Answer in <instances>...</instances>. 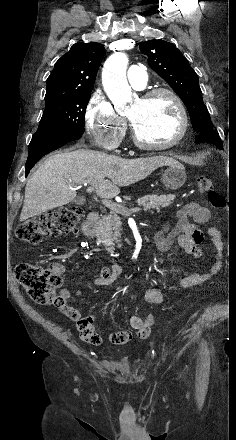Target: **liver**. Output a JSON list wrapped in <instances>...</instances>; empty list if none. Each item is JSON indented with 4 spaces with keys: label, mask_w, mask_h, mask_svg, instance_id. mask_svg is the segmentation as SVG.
Returning <instances> with one entry per match:
<instances>
[{
    "label": "liver",
    "mask_w": 236,
    "mask_h": 440,
    "mask_svg": "<svg viewBox=\"0 0 236 440\" xmlns=\"http://www.w3.org/2000/svg\"><path fill=\"white\" fill-rule=\"evenodd\" d=\"M173 161L164 156L124 159L88 149L56 153L28 179L20 221L71 203L77 185L88 184L99 197L113 198L119 187L141 181Z\"/></svg>",
    "instance_id": "obj_1"
}]
</instances>
